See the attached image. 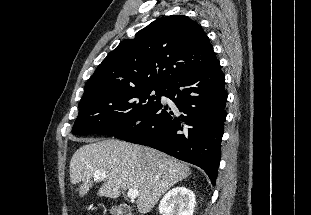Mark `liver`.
<instances>
[{
  "mask_svg": "<svg viewBox=\"0 0 311 215\" xmlns=\"http://www.w3.org/2000/svg\"><path fill=\"white\" fill-rule=\"evenodd\" d=\"M70 161V181L83 197L93 185V175L107 177L97 195L116 199L122 191L137 189V209L148 213L160 197L191 174L189 166L157 150L117 139L89 140Z\"/></svg>",
  "mask_w": 311,
  "mask_h": 215,
  "instance_id": "1",
  "label": "liver"
}]
</instances>
